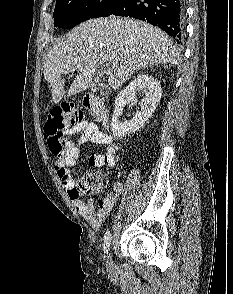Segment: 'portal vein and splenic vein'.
<instances>
[{"mask_svg": "<svg viewBox=\"0 0 233 294\" xmlns=\"http://www.w3.org/2000/svg\"><path fill=\"white\" fill-rule=\"evenodd\" d=\"M113 69H114V66H108L107 67V71H109V72L112 71Z\"/></svg>", "mask_w": 233, "mask_h": 294, "instance_id": "obj_1", "label": "portal vein and splenic vein"}]
</instances>
